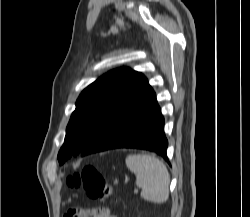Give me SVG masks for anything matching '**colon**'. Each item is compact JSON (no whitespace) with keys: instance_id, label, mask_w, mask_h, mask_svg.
I'll list each match as a JSON object with an SVG mask.
<instances>
[{"instance_id":"1","label":"colon","mask_w":250,"mask_h":217,"mask_svg":"<svg viewBox=\"0 0 250 217\" xmlns=\"http://www.w3.org/2000/svg\"><path fill=\"white\" fill-rule=\"evenodd\" d=\"M67 181L71 187L82 186L85 193L92 199L106 200L113 194L106 176L92 165H86L80 173L70 176ZM93 211L92 208L78 207L69 210L64 217H73L75 214L79 217H86Z\"/></svg>"}]
</instances>
